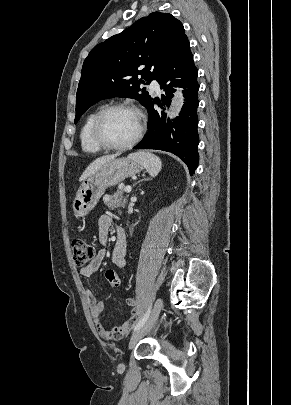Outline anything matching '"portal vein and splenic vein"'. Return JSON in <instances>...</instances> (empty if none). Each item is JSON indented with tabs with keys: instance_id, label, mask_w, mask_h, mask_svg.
<instances>
[{
	"instance_id": "portal-vein-and-splenic-vein-1",
	"label": "portal vein and splenic vein",
	"mask_w": 291,
	"mask_h": 405,
	"mask_svg": "<svg viewBox=\"0 0 291 405\" xmlns=\"http://www.w3.org/2000/svg\"><path fill=\"white\" fill-rule=\"evenodd\" d=\"M131 190H132L131 186H126L125 189H124V191H125L126 193H130Z\"/></svg>"
}]
</instances>
